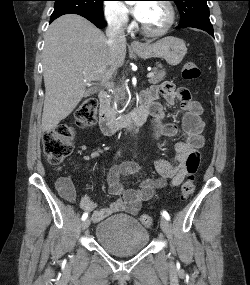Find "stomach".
<instances>
[{"label":"stomach","instance_id":"obj_1","mask_svg":"<svg viewBox=\"0 0 250 285\" xmlns=\"http://www.w3.org/2000/svg\"><path fill=\"white\" fill-rule=\"evenodd\" d=\"M187 52L185 42L177 37L168 36L154 43H146L142 50H136L134 53L143 58H161L165 59L169 65L176 66L184 58Z\"/></svg>","mask_w":250,"mask_h":285}]
</instances>
